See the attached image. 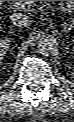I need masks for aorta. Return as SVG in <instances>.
<instances>
[{"mask_svg":"<svg viewBox=\"0 0 74 122\" xmlns=\"http://www.w3.org/2000/svg\"><path fill=\"white\" fill-rule=\"evenodd\" d=\"M58 47V40L55 36L42 33L38 37L37 51L42 55H49L56 51Z\"/></svg>","mask_w":74,"mask_h":122,"instance_id":"1","label":"aorta"}]
</instances>
